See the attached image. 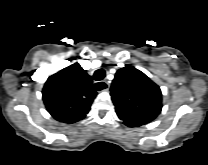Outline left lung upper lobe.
Segmentation results:
<instances>
[{"instance_id": "5c2ea615", "label": "left lung upper lobe", "mask_w": 208, "mask_h": 165, "mask_svg": "<svg viewBox=\"0 0 208 165\" xmlns=\"http://www.w3.org/2000/svg\"><path fill=\"white\" fill-rule=\"evenodd\" d=\"M118 117L129 127L153 121L162 109V94L140 70L127 66L117 71L110 88Z\"/></svg>"}]
</instances>
